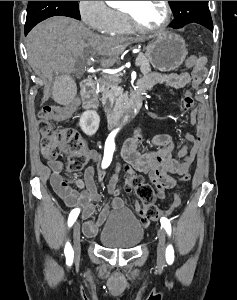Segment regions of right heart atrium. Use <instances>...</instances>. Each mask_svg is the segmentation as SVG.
Here are the masks:
<instances>
[{
    "label": "right heart atrium",
    "instance_id": "right-heart-atrium-1",
    "mask_svg": "<svg viewBox=\"0 0 237 300\" xmlns=\"http://www.w3.org/2000/svg\"><path fill=\"white\" fill-rule=\"evenodd\" d=\"M79 13L90 29L104 34L115 31V12L105 1H79Z\"/></svg>",
    "mask_w": 237,
    "mask_h": 300
}]
</instances>
